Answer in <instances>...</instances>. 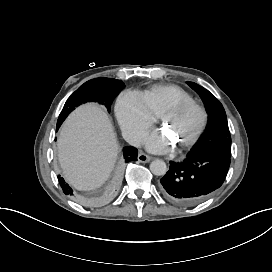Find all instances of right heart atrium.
I'll list each match as a JSON object with an SVG mask.
<instances>
[{
    "mask_svg": "<svg viewBox=\"0 0 272 272\" xmlns=\"http://www.w3.org/2000/svg\"><path fill=\"white\" fill-rule=\"evenodd\" d=\"M116 109L123 130L134 142L140 141L157 120L144 95L137 92L124 91Z\"/></svg>",
    "mask_w": 272,
    "mask_h": 272,
    "instance_id": "1",
    "label": "right heart atrium"
}]
</instances>
